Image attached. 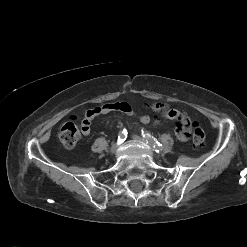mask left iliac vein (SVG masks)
Returning a JSON list of instances; mask_svg holds the SVG:
<instances>
[{
  "instance_id": "left-iliac-vein-1",
  "label": "left iliac vein",
  "mask_w": 247,
  "mask_h": 247,
  "mask_svg": "<svg viewBox=\"0 0 247 247\" xmlns=\"http://www.w3.org/2000/svg\"><path fill=\"white\" fill-rule=\"evenodd\" d=\"M132 138L136 141H139V142H142L144 143L145 142V139L138 136V135H133ZM150 154L153 156V157H156V155L152 152V150H150Z\"/></svg>"
}]
</instances>
